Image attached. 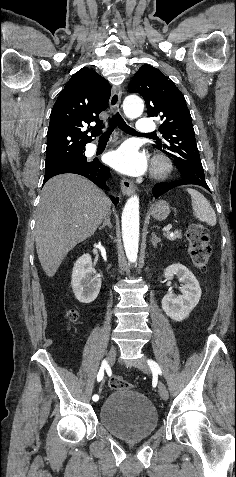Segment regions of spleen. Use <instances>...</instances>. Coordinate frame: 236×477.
I'll use <instances>...</instances> for the list:
<instances>
[{"instance_id": "obj_1", "label": "spleen", "mask_w": 236, "mask_h": 477, "mask_svg": "<svg viewBox=\"0 0 236 477\" xmlns=\"http://www.w3.org/2000/svg\"><path fill=\"white\" fill-rule=\"evenodd\" d=\"M187 191L192 198L194 216L201 222H206L210 226H215L217 218L209 201L195 189L188 188Z\"/></svg>"}]
</instances>
